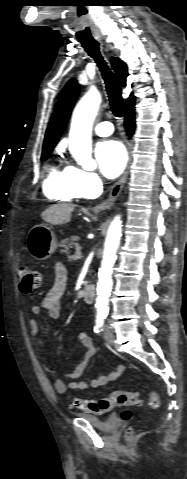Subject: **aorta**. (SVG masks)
<instances>
[{
  "label": "aorta",
  "mask_w": 187,
  "mask_h": 479,
  "mask_svg": "<svg viewBox=\"0 0 187 479\" xmlns=\"http://www.w3.org/2000/svg\"><path fill=\"white\" fill-rule=\"evenodd\" d=\"M101 96L96 89H90L77 104L72 117L69 133V150L79 165L87 171L96 169L92 159V125L97 114ZM122 221L116 216L111 222L104 246V254L99 269L96 308L97 313L106 315L109 312V296L112 289V268L116 261V251L120 244Z\"/></svg>",
  "instance_id": "aorta-1"
}]
</instances>
